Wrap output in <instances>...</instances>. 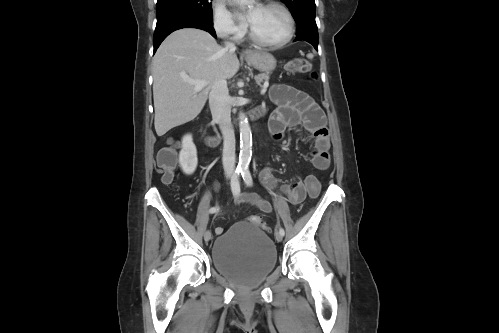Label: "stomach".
<instances>
[{"mask_svg": "<svg viewBox=\"0 0 499 333\" xmlns=\"http://www.w3.org/2000/svg\"><path fill=\"white\" fill-rule=\"evenodd\" d=\"M249 65L262 72H270L276 67V59L266 51L250 52L245 56Z\"/></svg>", "mask_w": 499, "mask_h": 333, "instance_id": "obj_1", "label": "stomach"}]
</instances>
